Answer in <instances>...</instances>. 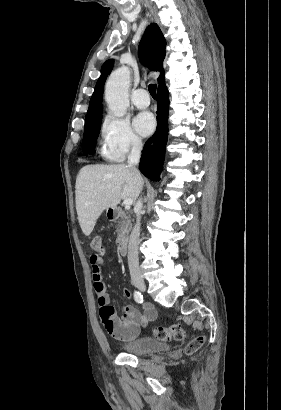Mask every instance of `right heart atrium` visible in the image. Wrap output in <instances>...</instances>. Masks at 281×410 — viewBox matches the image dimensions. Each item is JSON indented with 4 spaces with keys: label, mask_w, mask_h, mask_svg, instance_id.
Returning <instances> with one entry per match:
<instances>
[{
    "label": "right heart atrium",
    "mask_w": 281,
    "mask_h": 410,
    "mask_svg": "<svg viewBox=\"0 0 281 410\" xmlns=\"http://www.w3.org/2000/svg\"><path fill=\"white\" fill-rule=\"evenodd\" d=\"M102 154L111 161H122L129 153L139 151L143 142L128 120L111 114L101 123Z\"/></svg>",
    "instance_id": "d8ad5b80"
}]
</instances>
